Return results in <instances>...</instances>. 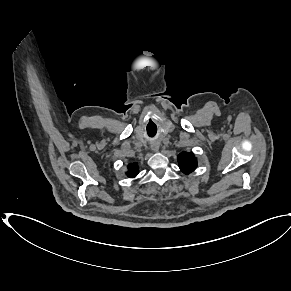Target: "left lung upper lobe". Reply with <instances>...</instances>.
Listing matches in <instances>:
<instances>
[{
	"label": "left lung upper lobe",
	"mask_w": 291,
	"mask_h": 291,
	"mask_svg": "<svg viewBox=\"0 0 291 291\" xmlns=\"http://www.w3.org/2000/svg\"><path fill=\"white\" fill-rule=\"evenodd\" d=\"M178 163L182 172L191 173L197 167V160L193 153L182 152L178 155Z\"/></svg>",
	"instance_id": "5c2ea615"
}]
</instances>
